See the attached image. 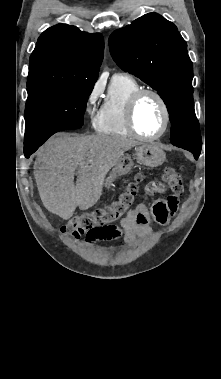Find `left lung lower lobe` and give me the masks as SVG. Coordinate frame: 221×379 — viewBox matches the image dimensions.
Segmentation results:
<instances>
[{
    "instance_id": "0a47b994",
    "label": "left lung lower lobe",
    "mask_w": 221,
    "mask_h": 379,
    "mask_svg": "<svg viewBox=\"0 0 221 379\" xmlns=\"http://www.w3.org/2000/svg\"><path fill=\"white\" fill-rule=\"evenodd\" d=\"M183 149H184V148H183ZM193 154H194L195 159H198L199 154H196V153H193Z\"/></svg>"
}]
</instances>
